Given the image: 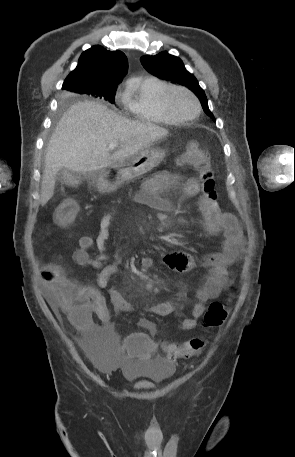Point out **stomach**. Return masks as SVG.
Wrapping results in <instances>:
<instances>
[{"label": "stomach", "mask_w": 295, "mask_h": 457, "mask_svg": "<svg viewBox=\"0 0 295 457\" xmlns=\"http://www.w3.org/2000/svg\"><path fill=\"white\" fill-rule=\"evenodd\" d=\"M166 156L160 147L142 149L133 156L117 161L109 167L95 172V185L101 192H111L159 165Z\"/></svg>", "instance_id": "1"}]
</instances>
